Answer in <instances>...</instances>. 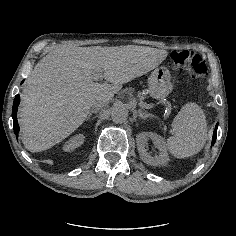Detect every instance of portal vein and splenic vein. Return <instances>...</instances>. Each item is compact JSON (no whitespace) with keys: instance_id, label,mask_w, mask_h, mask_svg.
<instances>
[{"instance_id":"1","label":"portal vein and splenic vein","mask_w":236,"mask_h":236,"mask_svg":"<svg viewBox=\"0 0 236 236\" xmlns=\"http://www.w3.org/2000/svg\"><path fill=\"white\" fill-rule=\"evenodd\" d=\"M102 77V73L101 72H97L96 74L93 75V79L94 80H98Z\"/></svg>"}]
</instances>
